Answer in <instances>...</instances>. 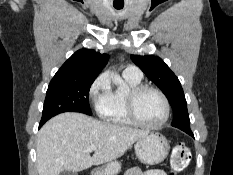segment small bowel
Wrapping results in <instances>:
<instances>
[{
    "instance_id": "1",
    "label": "small bowel",
    "mask_w": 233,
    "mask_h": 175,
    "mask_svg": "<svg viewBox=\"0 0 233 175\" xmlns=\"http://www.w3.org/2000/svg\"><path fill=\"white\" fill-rule=\"evenodd\" d=\"M124 175H166V173L161 169L143 171L139 168H131Z\"/></svg>"
}]
</instances>
